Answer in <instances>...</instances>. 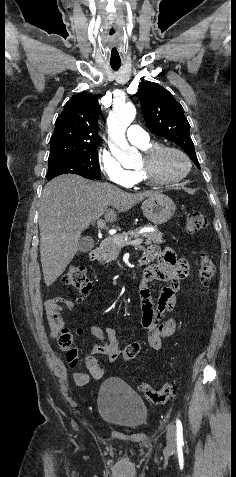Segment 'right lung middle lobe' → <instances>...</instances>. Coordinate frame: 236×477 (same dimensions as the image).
<instances>
[{
	"instance_id": "right-lung-middle-lobe-1",
	"label": "right lung middle lobe",
	"mask_w": 236,
	"mask_h": 477,
	"mask_svg": "<svg viewBox=\"0 0 236 477\" xmlns=\"http://www.w3.org/2000/svg\"><path fill=\"white\" fill-rule=\"evenodd\" d=\"M97 147L79 150L74 154L48 162V180L61 174H76L87 179H100Z\"/></svg>"
}]
</instances>
